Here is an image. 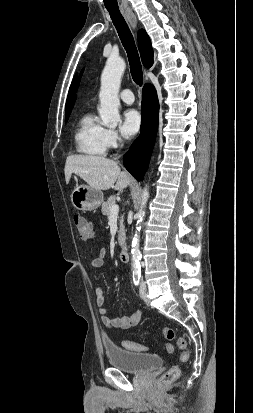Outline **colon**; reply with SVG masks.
Masks as SVG:
<instances>
[{
	"mask_svg": "<svg viewBox=\"0 0 253 413\" xmlns=\"http://www.w3.org/2000/svg\"><path fill=\"white\" fill-rule=\"evenodd\" d=\"M73 220L75 223V226L77 228L79 237L82 240H89L92 237V230L87 222V220L79 214H75L73 216ZM162 333L163 336L168 340V341H175L177 348L181 351L180 359L183 362H186L189 359L190 353L187 348V341L183 337H178L175 333V331L170 328V327H163L162 328ZM123 346L126 349L132 350V351H146L147 347L144 345L136 344L130 341H124ZM167 350L169 352L173 351V346L171 344L167 345ZM180 375V369L178 367H172L169 369L165 374L161 376L159 379V384L160 385H167L174 380H176Z\"/></svg>",
	"mask_w": 253,
	"mask_h": 413,
	"instance_id": "1",
	"label": "colon"
}]
</instances>
